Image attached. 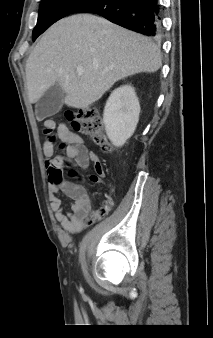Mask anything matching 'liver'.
I'll use <instances>...</instances> for the list:
<instances>
[{
  "label": "liver",
  "mask_w": 213,
  "mask_h": 338,
  "mask_svg": "<svg viewBox=\"0 0 213 338\" xmlns=\"http://www.w3.org/2000/svg\"><path fill=\"white\" fill-rule=\"evenodd\" d=\"M161 65L160 47L151 39L101 17L72 15L52 25L29 55L28 98L36 103L58 83L67 106L86 109L120 79Z\"/></svg>",
  "instance_id": "liver-1"
}]
</instances>
